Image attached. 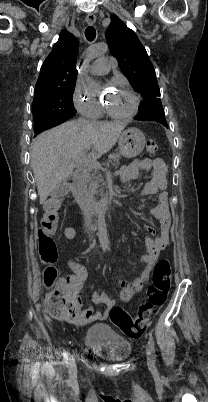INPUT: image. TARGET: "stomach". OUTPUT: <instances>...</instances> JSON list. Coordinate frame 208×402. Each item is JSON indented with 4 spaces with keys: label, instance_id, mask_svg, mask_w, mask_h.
I'll return each instance as SVG.
<instances>
[{
    "label": "stomach",
    "instance_id": "obj_1",
    "mask_svg": "<svg viewBox=\"0 0 208 402\" xmlns=\"http://www.w3.org/2000/svg\"><path fill=\"white\" fill-rule=\"evenodd\" d=\"M118 144L120 154L124 158H136L144 150L145 136L137 128H128V130L122 132Z\"/></svg>",
    "mask_w": 208,
    "mask_h": 402
}]
</instances>
